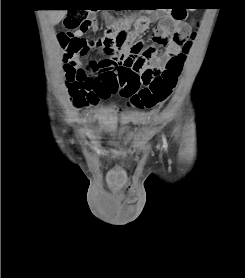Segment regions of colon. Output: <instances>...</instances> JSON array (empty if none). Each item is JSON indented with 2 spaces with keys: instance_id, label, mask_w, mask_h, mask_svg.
<instances>
[{
  "instance_id": "colon-1",
  "label": "colon",
  "mask_w": 245,
  "mask_h": 278,
  "mask_svg": "<svg viewBox=\"0 0 245 278\" xmlns=\"http://www.w3.org/2000/svg\"><path fill=\"white\" fill-rule=\"evenodd\" d=\"M84 10L77 9L67 13L63 21L65 31L61 32L58 37L60 46L65 50L63 61L70 104L76 110L95 105L98 97L105 94L104 92L97 93V85L92 76L76 65V61L90 49L85 38L73 36L78 30L88 31L93 28L92 21L87 20ZM184 15L181 11L174 12V18L177 20L184 18ZM109 35L113 36L116 44L126 45L131 52H140L143 55L155 53L154 49L145 50L140 43L129 42L124 30L109 31ZM171 45L180 51L167 58L163 70L147 67L140 74L128 72L121 77H113L108 89L109 93L120 94L128 100L132 108L138 110L152 109L166 102L178 83L190 40L182 35L174 34L171 36ZM140 84L144 86L140 87Z\"/></svg>"
}]
</instances>
